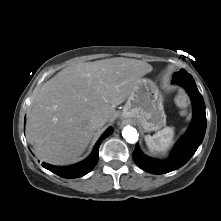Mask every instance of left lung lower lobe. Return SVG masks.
<instances>
[{"mask_svg": "<svg viewBox=\"0 0 221 221\" xmlns=\"http://www.w3.org/2000/svg\"><path fill=\"white\" fill-rule=\"evenodd\" d=\"M172 82L183 86L188 92L193 105V119L188 131L177 143L168 160L151 159L143 155L136 144L133 160L141 169L152 174L168 173L186 164L201 144L206 131L205 104L193 77L189 73L178 74L173 77Z\"/></svg>", "mask_w": 221, "mask_h": 221, "instance_id": "1", "label": "left lung lower lobe"}]
</instances>
